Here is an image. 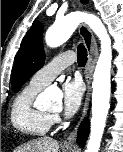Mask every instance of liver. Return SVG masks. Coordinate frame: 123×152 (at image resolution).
<instances>
[{
    "instance_id": "liver-1",
    "label": "liver",
    "mask_w": 123,
    "mask_h": 152,
    "mask_svg": "<svg viewBox=\"0 0 123 152\" xmlns=\"http://www.w3.org/2000/svg\"><path fill=\"white\" fill-rule=\"evenodd\" d=\"M58 150V141L49 137H42L29 141L17 148L15 152H58Z\"/></svg>"
}]
</instances>
